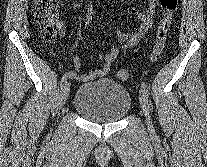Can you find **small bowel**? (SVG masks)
I'll return each instance as SVG.
<instances>
[{"label":"small bowel","instance_id":"small-bowel-1","mask_svg":"<svg viewBox=\"0 0 207 167\" xmlns=\"http://www.w3.org/2000/svg\"><path fill=\"white\" fill-rule=\"evenodd\" d=\"M157 2L158 0H148V7L144 12H140L135 7H132V12L136 15L138 19L137 26L130 32L118 31L116 34L117 38L120 41L125 42L126 48L134 46L148 32L152 24ZM93 14H94V7L93 5H91L89 7L87 20H86L87 29L90 28L93 19ZM64 31H65V26L62 22H60L59 33L63 34ZM118 55H119V49L116 47H111L107 54H99L97 56V58L101 60L103 63L101 68L90 71L85 74H80L79 60L75 55L71 54L70 56L73 62V69L68 71V76L72 79L82 82H86L102 77L107 73H109L113 62L116 60Z\"/></svg>","mask_w":207,"mask_h":167}]
</instances>
